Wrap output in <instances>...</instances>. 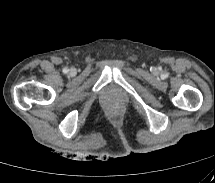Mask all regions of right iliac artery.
Wrapping results in <instances>:
<instances>
[{
    "mask_svg": "<svg viewBox=\"0 0 215 183\" xmlns=\"http://www.w3.org/2000/svg\"><path fill=\"white\" fill-rule=\"evenodd\" d=\"M63 72H64V73H67V72H68V69L64 68V69H63Z\"/></svg>",
    "mask_w": 215,
    "mask_h": 183,
    "instance_id": "82829eb1",
    "label": "right iliac artery"
}]
</instances>
